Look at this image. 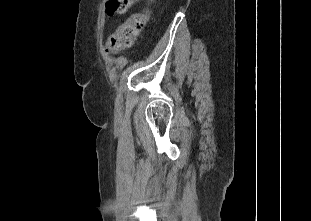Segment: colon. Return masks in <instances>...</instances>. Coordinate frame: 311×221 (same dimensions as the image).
Wrapping results in <instances>:
<instances>
[{
  "label": "colon",
  "instance_id": "colon-1",
  "mask_svg": "<svg viewBox=\"0 0 311 221\" xmlns=\"http://www.w3.org/2000/svg\"><path fill=\"white\" fill-rule=\"evenodd\" d=\"M154 0H149L148 4L137 13L132 14L129 19L121 24L116 31L107 39L104 49L107 52H118L130 47L144 30L152 14ZM135 0H114L107 6L109 20L113 17H126L127 4H134Z\"/></svg>",
  "mask_w": 311,
  "mask_h": 221
}]
</instances>
